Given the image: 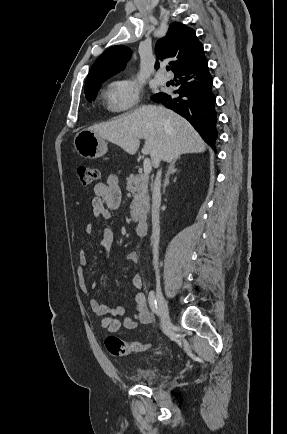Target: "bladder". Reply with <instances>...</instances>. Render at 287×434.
Returning <instances> with one entry per match:
<instances>
[{
  "label": "bladder",
  "mask_w": 287,
  "mask_h": 434,
  "mask_svg": "<svg viewBox=\"0 0 287 434\" xmlns=\"http://www.w3.org/2000/svg\"><path fill=\"white\" fill-rule=\"evenodd\" d=\"M162 373V369L157 366H143L138 368L133 374L132 378L140 383H152Z\"/></svg>",
  "instance_id": "obj_1"
}]
</instances>
